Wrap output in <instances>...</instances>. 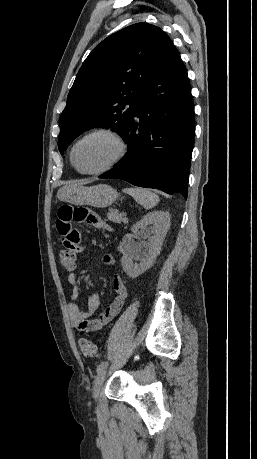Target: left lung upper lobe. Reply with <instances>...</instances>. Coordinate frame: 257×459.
I'll list each match as a JSON object with an SVG mask.
<instances>
[{
  "instance_id": "1",
  "label": "left lung upper lobe",
  "mask_w": 257,
  "mask_h": 459,
  "mask_svg": "<svg viewBox=\"0 0 257 459\" xmlns=\"http://www.w3.org/2000/svg\"><path fill=\"white\" fill-rule=\"evenodd\" d=\"M173 49L165 32L147 23L128 26L94 48L76 76L59 119L60 153L95 126H114L123 136L140 93Z\"/></svg>"
}]
</instances>
